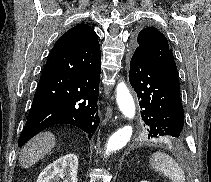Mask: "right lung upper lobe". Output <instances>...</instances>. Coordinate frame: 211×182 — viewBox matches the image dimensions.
I'll return each mask as SVG.
<instances>
[{"instance_id":"right-lung-upper-lobe-1","label":"right lung upper lobe","mask_w":211,"mask_h":182,"mask_svg":"<svg viewBox=\"0 0 211 182\" xmlns=\"http://www.w3.org/2000/svg\"><path fill=\"white\" fill-rule=\"evenodd\" d=\"M94 32L88 25L81 23L63 34L57 42L78 41Z\"/></svg>"}]
</instances>
